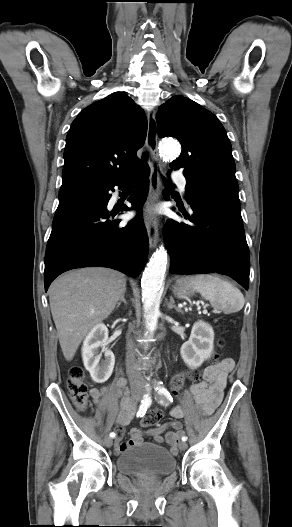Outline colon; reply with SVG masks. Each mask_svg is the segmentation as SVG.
<instances>
[{"mask_svg": "<svg viewBox=\"0 0 292 527\" xmlns=\"http://www.w3.org/2000/svg\"><path fill=\"white\" fill-rule=\"evenodd\" d=\"M222 345V342H219ZM214 362L218 360V356L213 357ZM184 379L190 380L193 383H198L202 379V372L199 370L189 371L183 375L177 376L173 380V386L178 387ZM66 387L68 395L73 404L79 409L84 410L88 404V384L85 380L83 368L74 366L70 369ZM162 418V412L158 409L149 410L141 420L142 427H150L157 425ZM180 434V433H179ZM179 439V438H178Z\"/></svg>", "mask_w": 292, "mask_h": 527, "instance_id": "colon-1", "label": "colon"}]
</instances>
